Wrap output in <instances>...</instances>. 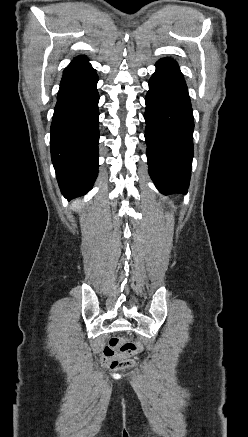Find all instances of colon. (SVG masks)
Instances as JSON below:
<instances>
[{"label":"colon","instance_id":"obj_1","mask_svg":"<svg viewBox=\"0 0 248 437\" xmlns=\"http://www.w3.org/2000/svg\"><path fill=\"white\" fill-rule=\"evenodd\" d=\"M141 350L137 341L111 338L103 350L102 364L111 369L131 368L135 361L131 356Z\"/></svg>","mask_w":248,"mask_h":437}]
</instances>
